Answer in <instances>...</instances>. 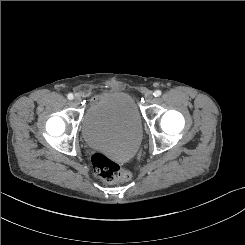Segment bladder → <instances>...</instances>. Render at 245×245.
<instances>
[{
  "label": "bladder",
  "instance_id": "1",
  "mask_svg": "<svg viewBox=\"0 0 245 245\" xmlns=\"http://www.w3.org/2000/svg\"><path fill=\"white\" fill-rule=\"evenodd\" d=\"M81 134L91 148L121 158L134 154L141 143L142 123L133 98L122 91L99 94L83 115Z\"/></svg>",
  "mask_w": 245,
  "mask_h": 245
}]
</instances>
